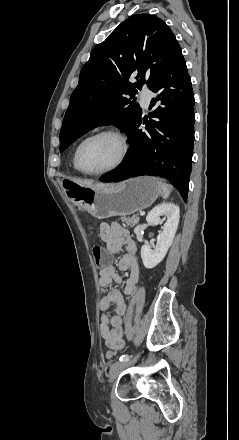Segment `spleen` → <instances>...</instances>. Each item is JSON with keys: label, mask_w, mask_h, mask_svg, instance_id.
<instances>
[{"label": "spleen", "mask_w": 239, "mask_h": 440, "mask_svg": "<svg viewBox=\"0 0 239 440\" xmlns=\"http://www.w3.org/2000/svg\"><path fill=\"white\" fill-rule=\"evenodd\" d=\"M161 188H162V194L164 200H167L168 196H170V192L173 190V186H170V184H163V182H159Z\"/></svg>", "instance_id": "obj_1"}]
</instances>
